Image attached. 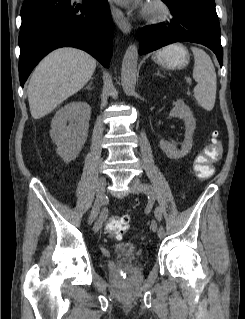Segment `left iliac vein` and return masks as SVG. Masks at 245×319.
I'll return each instance as SVG.
<instances>
[{"label":"left iliac vein","mask_w":245,"mask_h":319,"mask_svg":"<svg viewBox=\"0 0 245 319\" xmlns=\"http://www.w3.org/2000/svg\"><path fill=\"white\" fill-rule=\"evenodd\" d=\"M131 189L134 193H137V194H142L143 193V185L141 183V181L138 179V178H134L132 183H131ZM151 228L154 232H156L158 230L157 228V223L155 221H152L151 223ZM158 236L160 238L164 237L160 231L158 230Z\"/></svg>","instance_id":"1"}]
</instances>
